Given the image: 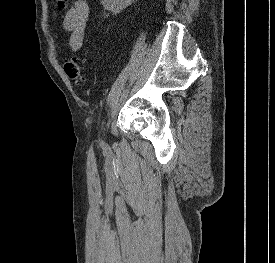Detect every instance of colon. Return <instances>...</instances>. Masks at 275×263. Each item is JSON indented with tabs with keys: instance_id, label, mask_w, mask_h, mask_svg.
Masks as SVG:
<instances>
[{
	"instance_id": "5ec220e1",
	"label": "colon",
	"mask_w": 275,
	"mask_h": 263,
	"mask_svg": "<svg viewBox=\"0 0 275 263\" xmlns=\"http://www.w3.org/2000/svg\"><path fill=\"white\" fill-rule=\"evenodd\" d=\"M67 2L68 0H57V5L60 9H65ZM64 72L66 76L76 84H83L86 80L76 58H68L65 60Z\"/></svg>"
}]
</instances>
